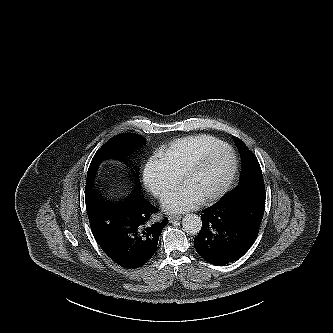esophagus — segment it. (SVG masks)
<instances>
[{
  "instance_id": "34e87169",
  "label": "esophagus",
  "mask_w": 333,
  "mask_h": 333,
  "mask_svg": "<svg viewBox=\"0 0 333 333\" xmlns=\"http://www.w3.org/2000/svg\"><path fill=\"white\" fill-rule=\"evenodd\" d=\"M180 219H181L180 215H170L169 216V221L170 222H174V221H177V220H180Z\"/></svg>"
}]
</instances>
